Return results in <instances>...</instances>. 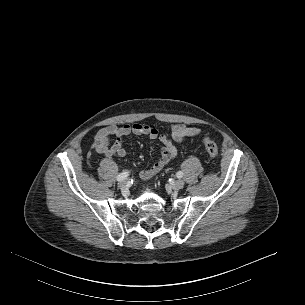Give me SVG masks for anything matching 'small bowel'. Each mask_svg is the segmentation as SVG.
I'll return each mask as SVG.
<instances>
[{
  "mask_svg": "<svg viewBox=\"0 0 305 305\" xmlns=\"http://www.w3.org/2000/svg\"><path fill=\"white\" fill-rule=\"evenodd\" d=\"M168 132L169 134L159 133L156 127L140 123L125 124L122 126L109 125L97 132L94 145L96 150L106 157L125 158L128 155V152L123 147L122 143L125 136L146 135L151 139H157L160 143V155L151 167L140 173L143 180H148L160 172L176 157L177 150L173 145L171 138L177 142H183L191 137L199 135L201 130L190 125L173 124L168 127ZM111 137H115L113 144H110Z\"/></svg>",
  "mask_w": 305,
  "mask_h": 305,
  "instance_id": "small-bowel-1",
  "label": "small bowel"
}]
</instances>
